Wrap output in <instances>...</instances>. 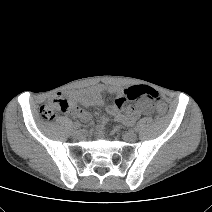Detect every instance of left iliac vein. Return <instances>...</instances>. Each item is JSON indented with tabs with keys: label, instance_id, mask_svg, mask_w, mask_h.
Instances as JSON below:
<instances>
[{
	"label": "left iliac vein",
	"instance_id": "4c4485c4",
	"mask_svg": "<svg viewBox=\"0 0 212 212\" xmlns=\"http://www.w3.org/2000/svg\"><path fill=\"white\" fill-rule=\"evenodd\" d=\"M125 141L133 142L137 139V134L134 131H128L123 135Z\"/></svg>",
	"mask_w": 212,
	"mask_h": 212
}]
</instances>
